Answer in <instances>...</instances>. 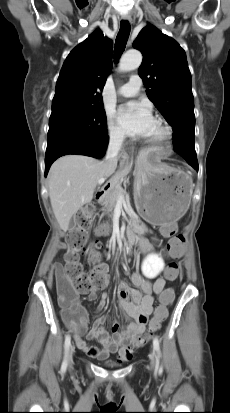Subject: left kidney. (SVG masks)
Wrapping results in <instances>:
<instances>
[{"mask_svg": "<svg viewBox=\"0 0 230 413\" xmlns=\"http://www.w3.org/2000/svg\"><path fill=\"white\" fill-rule=\"evenodd\" d=\"M164 261L159 254L152 253L146 256L141 265V270L146 278L157 277L164 269Z\"/></svg>", "mask_w": 230, "mask_h": 413, "instance_id": "obj_1", "label": "left kidney"}]
</instances>
